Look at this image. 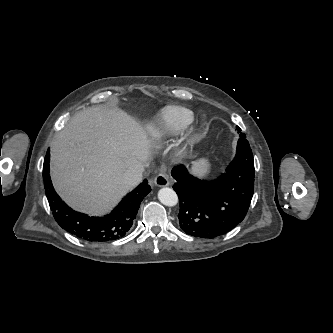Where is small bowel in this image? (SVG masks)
<instances>
[{"label":"small bowel","instance_id":"small-bowel-1","mask_svg":"<svg viewBox=\"0 0 333 333\" xmlns=\"http://www.w3.org/2000/svg\"><path fill=\"white\" fill-rule=\"evenodd\" d=\"M234 141H235L234 143H235L236 145L239 143V142H238L239 140H238L237 138H236ZM235 149H236L235 151H236L237 153L240 151V150H239L240 148H239L238 146H237Z\"/></svg>","mask_w":333,"mask_h":333}]
</instances>
